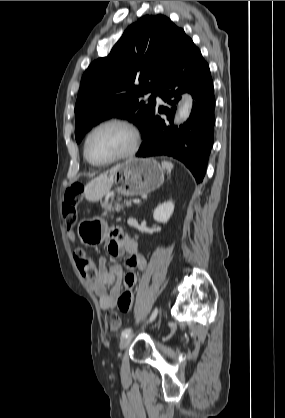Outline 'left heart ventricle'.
I'll return each mask as SVG.
<instances>
[{"label": "left heart ventricle", "mask_w": 285, "mask_h": 418, "mask_svg": "<svg viewBox=\"0 0 285 418\" xmlns=\"http://www.w3.org/2000/svg\"><path fill=\"white\" fill-rule=\"evenodd\" d=\"M132 143L130 132L118 125L104 126L95 131L88 142L91 160L102 162L126 152Z\"/></svg>", "instance_id": "1"}]
</instances>
